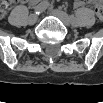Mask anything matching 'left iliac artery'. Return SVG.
Listing matches in <instances>:
<instances>
[{"mask_svg": "<svg viewBox=\"0 0 103 103\" xmlns=\"http://www.w3.org/2000/svg\"><path fill=\"white\" fill-rule=\"evenodd\" d=\"M70 20H71L72 24H74V25L77 24V18L74 17L73 15L70 16Z\"/></svg>", "mask_w": 103, "mask_h": 103, "instance_id": "left-iliac-artery-1", "label": "left iliac artery"}]
</instances>
